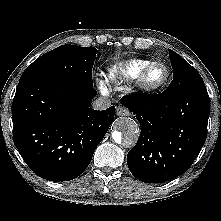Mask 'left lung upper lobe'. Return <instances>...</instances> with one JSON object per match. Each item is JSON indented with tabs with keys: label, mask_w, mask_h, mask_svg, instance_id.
<instances>
[{
	"label": "left lung upper lobe",
	"mask_w": 221,
	"mask_h": 221,
	"mask_svg": "<svg viewBox=\"0 0 221 221\" xmlns=\"http://www.w3.org/2000/svg\"><path fill=\"white\" fill-rule=\"evenodd\" d=\"M169 57L173 68V81L164 91L165 94L176 97L185 92L206 89L200 74L194 67L170 49Z\"/></svg>",
	"instance_id": "left-lung-upper-lobe-1"
}]
</instances>
